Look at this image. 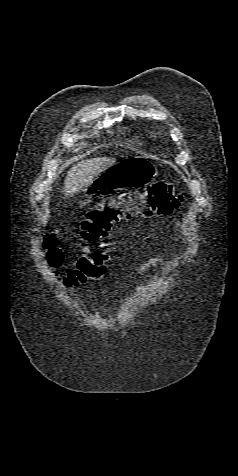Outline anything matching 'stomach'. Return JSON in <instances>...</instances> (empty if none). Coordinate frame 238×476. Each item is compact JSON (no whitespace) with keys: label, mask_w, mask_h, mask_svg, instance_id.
<instances>
[{"label":"stomach","mask_w":238,"mask_h":476,"mask_svg":"<svg viewBox=\"0 0 238 476\" xmlns=\"http://www.w3.org/2000/svg\"><path fill=\"white\" fill-rule=\"evenodd\" d=\"M146 156H129L128 160L117 163L100 173L84 189L89 196L107 195L115 190H139L141 183L152 179V164H146Z\"/></svg>","instance_id":"obj_1"}]
</instances>
